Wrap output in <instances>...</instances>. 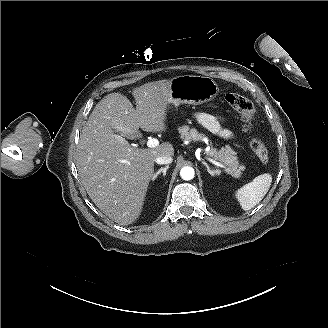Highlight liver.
Returning <instances> with one entry per match:
<instances>
[{
  "instance_id": "obj_1",
  "label": "liver",
  "mask_w": 328,
  "mask_h": 328,
  "mask_svg": "<svg viewBox=\"0 0 328 328\" xmlns=\"http://www.w3.org/2000/svg\"><path fill=\"white\" fill-rule=\"evenodd\" d=\"M132 95L136 109L119 93L108 94L97 103L82 129L76 157L89 197L106 216L123 226L133 223L141 213L156 158L174 155L169 142L139 149L113 131L124 135L139 128L164 131L169 80L146 83L134 88Z\"/></svg>"
}]
</instances>
